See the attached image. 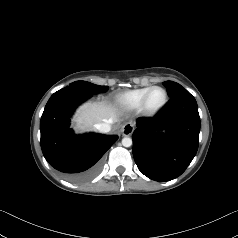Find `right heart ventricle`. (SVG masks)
<instances>
[{"mask_svg":"<svg viewBox=\"0 0 238 238\" xmlns=\"http://www.w3.org/2000/svg\"><path fill=\"white\" fill-rule=\"evenodd\" d=\"M150 88L151 87H142L126 91L117 96L116 101L121 107L125 109L128 110L138 109L140 108L144 95Z\"/></svg>","mask_w":238,"mask_h":238,"instance_id":"e07e8e85","label":"right heart ventricle"}]
</instances>
